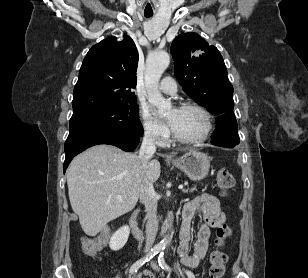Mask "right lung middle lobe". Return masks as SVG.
<instances>
[{"mask_svg":"<svg viewBox=\"0 0 308 278\" xmlns=\"http://www.w3.org/2000/svg\"><path fill=\"white\" fill-rule=\"evenodd\" d=\"M138 112L139 107L134 102L73 115L69 134L82 131H117L142 136L144 131Z\"/></svg>","mask_w":308,"mask_h":278,"instance_id":"dd1d6c3e","label":"right lung middle lobe"}]
</instances>
